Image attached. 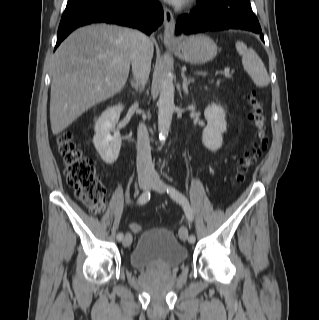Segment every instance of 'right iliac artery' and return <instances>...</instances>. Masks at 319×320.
Instances as JSON below:
<instances>
[{
    "mask_svg": "<svg viewBox=\"0 0 319 320\" xmlns=\"http://www.w3.org/2000/svg\"><path fill=\"white\" fill-rule=\"evenodd\" d=\"M149 199H150V190L147 189L146 191H144V192L140 195V197L138 198L137 203H138L139 205H143V204H145L146 202H148ZM117 240H118V241H122V240H123V233L119 232V233L117 234Z\"/></svg>",
    "mask_w": 319,
    "mask_h": 320,
    "instance_id": "82829eb1",
    "label": "right iliac artery"
}]
</instances>
